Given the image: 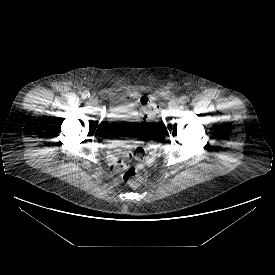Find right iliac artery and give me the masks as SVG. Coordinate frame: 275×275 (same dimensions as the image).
<instances>
[{
	"label": "right iliac artery",
	"mask_w": 275,
	"mask_h": 275,
	"mask_svg": "<svg viewBox=\"0 0 275 275\" xmlns=\"http://www.w3.org/2000/svg\"><path fill=\"white\" fill-rule=\"evenodd\" d=\"M89 96H90V94H89L88 91H83V92L81 93V97H82L83 99H87Z\"/></svg>",
	"instance_id": "right-iliac-artery-1"
}]
</instances>
